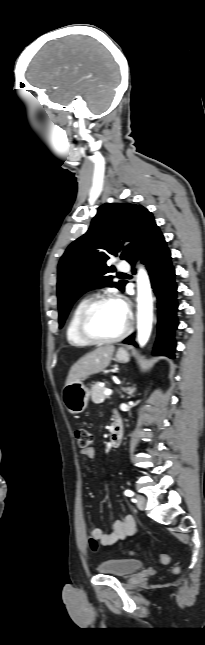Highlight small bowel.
Wrapping results in <instances>:
<instances>
[{"label": "small bowel", "mask_w": 205, "mask_h": 645, "mask_svg": "<svg viewBox=\"0 0 205 645\" xmlns=\"http://www.w3.org/2000/svg\"><path fill=\"white\" fill-rule=\"evenodd\" d=\"M81 454L86 458H95V449L88 447L81 450ZM136 523L131 515H126L121 519L113 522L112 528L109 532L103 531L101 528H93L88 536V543L90 548L96 552L102 547H109L119 540L132 536L136 533Z\"/></svg>", "instance_id": "small-bowel-1"}]
</instances>
